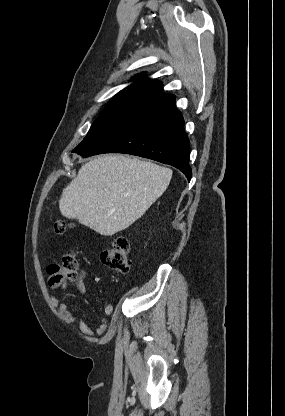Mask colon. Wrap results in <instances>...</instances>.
<instances>
[{"instance_id":"colon-1","label":"colon","mask_w":285,"mask_h":416,"mask_svg":"<svg viewBox=\"0 0 285 416\" xmlns=\"http://www.w3.org/2000/svg\"><path fill=\"white\" fill-rule=\"evenodd\" d=\"M69 225L64 221H56L52 226V232L63 234ZM130 245L126 238L117 237L112 245L100 253L102 263L116 271L126 273L130 268ZM50 284L54 287L65 286L78 280V261L75 252L65 253L61 260L48 267Z\"/></svg>"}]
</instances>
